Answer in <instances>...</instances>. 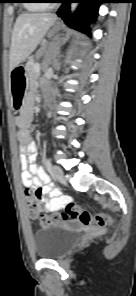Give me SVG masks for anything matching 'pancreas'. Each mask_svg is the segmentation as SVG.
Masks as SVG:
<instances>
[{"instance_id": "cf45deb5", "label": "pancreas", "mask_w": 136, "mask_h": 296, "mask_svg": "<svg viewBox=\"0 0 136 296\" xmlns=\"http://www.w3.org/2000/svg\"><path fill=\"white\" fill-rule=\"evenodd\" d=\"M43 54V51L40 50L37 53V56H41ZM38 64L35 63L34 59H30L27 63V74L28 77L30 78H36L38 76V73L35 71V66H37Z\"/></svg>"}]
</instances>
